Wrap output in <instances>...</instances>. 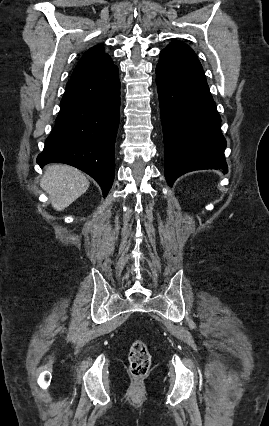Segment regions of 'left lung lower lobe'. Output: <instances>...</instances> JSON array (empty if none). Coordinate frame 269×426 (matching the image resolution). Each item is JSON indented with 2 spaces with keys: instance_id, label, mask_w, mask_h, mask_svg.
<instances>
[{
  "instance_id": "1",
  "label": "left lung lower lobe",
  "mask_w": 269,
  "mask_h": 426,
  "mask_svg": "<svg viewBox=\"0 0 269 426\" xmlns=\"http://www.w3.org/2000/svg\"><path fill=\"white\" fill-rule=\"evenodd\" d=\"M156 83L168 184L194 170H227L221 118L191 47L174 40L160 52Z\"/></svg>"
}]
</instances>
